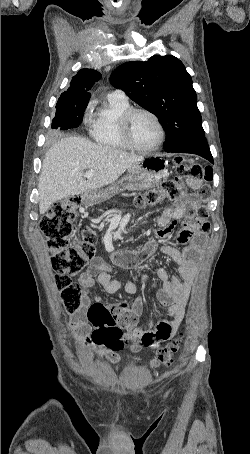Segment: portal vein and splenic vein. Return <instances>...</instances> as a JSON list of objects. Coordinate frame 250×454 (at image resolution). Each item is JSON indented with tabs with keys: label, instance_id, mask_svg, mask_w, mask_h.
<instances>
[{
	"label": "portal vein and splenic vein",
	"instance_id": "1",
	"mask_svg": "<svg viewBox=\"0 0 250 454\" xmlns=\"http://www.w3.org/2000/svg\"><path fill=\"white\" fill-rule=\"evenodd\" d=\"M94 175H95V171H94V170H89V171H87V172L85 173V177H86L87 179L92 178Z\"/></svg>",
	"mask_w": 250,
	"mask_h": 454
}]
</instances>
